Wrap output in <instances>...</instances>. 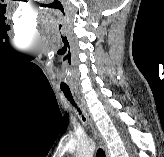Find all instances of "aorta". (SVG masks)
<instances>
[{"instance_id": "762f6f07", "label": "aorta", "mask_w": 164, "mask_h": 157, "mask_svg": "<svg viewBox=\"0 0 164 157\" xmlns=\"http://www.w3.org/2000/svg\"><path fill=\"white\" fill-rule=\"evenodd\" d=\"M94 151L95 143L93 141H85L78 146L75 157H93Z\"/></svg>"}]
</instances>
